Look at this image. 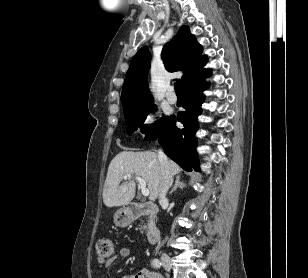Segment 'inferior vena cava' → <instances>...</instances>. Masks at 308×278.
I'll use <instances>...</instances> for the list:
<instances>
[{
  "mask_svg": "<svg viewBox=\"0 0 308 278\" xmlns=\"http://www.w3.org/2000/svg\"><path fill=\"white\" fill-rule=\"evenodd\" d=\"M158 159L162 170V180L159 190L160 201L166 200V193L172 185L173 176L169 170L168 158L162 150H158Z\"/></svg>",
  "mask_w": 308,
  "mask_h": 278,
  "instance_id": "1",
  "label": "inferior vena cava"
}]
</instances>
